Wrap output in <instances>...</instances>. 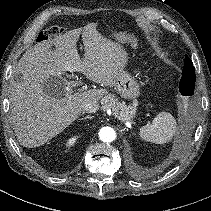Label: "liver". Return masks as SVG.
I'll return each instance as SVG.
<instances>
[{"label":"liver","instance_id":"liver-1","mask_svg":"<svg viewBox=\"0 0 211 211\" xmlns=\"http://www.w3.org/2000/svg\"><path fill=\"white\" fill-rule=\"evenodd\" d=\"M88 24L43 41L28 49L15 67L11 80V122L22 146L34 148L44 145L61 133L82 113L86 103L99 102L105 90L89 89L67 93L72 82L63 79V93L52 97L44 90L50 76L65 72H82L90 80L114 87L116 78L127 64V53L120 44L107 39ZM82 35L85 58L77 51ZM55 46V49H52Z\"/></svg>","mask_w":211,"mask_h":211}]
</instances>
